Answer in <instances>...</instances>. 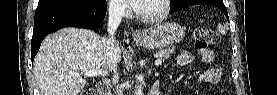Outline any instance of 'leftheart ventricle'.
Listing matches in <instances>:
<instances>
[{"label":"left heart ventricle","mask_w":277,"mask_h":95,"mask_svg":"<svg viewBox=\"0 0 277 95\" xmlns=\"http://www.w3.org/2000/svg\"><path fill=\"white\" fill-rule=\"evenodd\" d=\"M136 8L143 16H155L161 13L163 4L160 0H143Z\"/></svg>","instance_id":"b2bd125f"}]
</instances>
